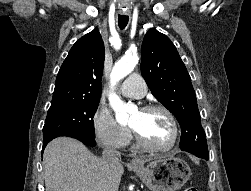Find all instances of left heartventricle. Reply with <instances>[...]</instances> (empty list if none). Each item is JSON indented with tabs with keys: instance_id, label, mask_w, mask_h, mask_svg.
<instances>
[{
	"instance_id": "b2bd125f",
	"label": "left heart ventricle",
	"mask_w": 251,
	"mask_h": 191,
	"mask_svg": "<svg viewBox=\"0 0 251 191\" xmlns=\"http://www.w3.org/2000/svg\"><path fill=\"white\" fill-rule=\"evenodd\" d=\"M131 124L154 147L165 148L173 142L172 123L162 111H137Z\"/></svg>"
}]
</instances>
